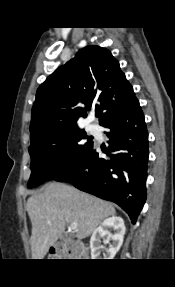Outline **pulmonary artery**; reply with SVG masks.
Instances as JSON below:
<instances>
[{
    "mask_svg": "<svg viewBox=\"0 0 175 287\" xmlns=\"http://www.w3.org/2000/svg\"><path fill=\"white\" fill-rule=\"evenodd\" d=\"M89 129L92 131V132H95L96 131V128L94 126H90Z\"/></svg>",
    "mask_w": 175,
    "mask_h": 287,
    "instance_id": "1",
    "label": "pulmonary artery"
}]
</instances>
